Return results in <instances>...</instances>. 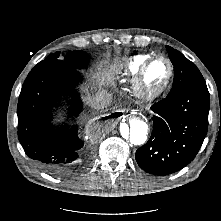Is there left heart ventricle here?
Masks as SVG:
<instances>
[{
    "label": "left heart ventricle",
    "instance_id": "b2bd125f",
    "mask_svg": "<svg viewBox=\"0 0 221 221\" xmlns=\"http://www.w3.org/2000/svg\"><path fill=\"white\" fill-rule=\"evenodd\" d=\"M169 66L163 59L155 60L148 68L145 75V86L147 89H157L167 80Z\"/></svg>",
    "mask_w": 221,
    "mask_h": 221
}]
</instances>
